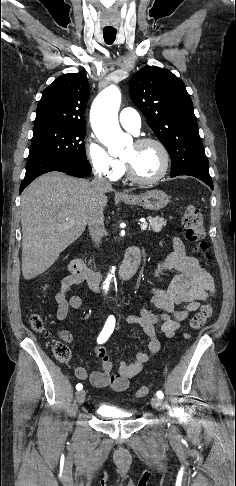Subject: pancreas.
<instances>
[{
    "instance_id": "pancreas-1",
    "label": "pancreas",
    "mask_w": 236,
    "mask_h": 486,
    "mask_svg": "<svg viewBox=\"0 0 236 486\" xmlns=\"http://www.w3.org/2000/svg\"><path fill=\"white\" fill-rule=\"evenodd\" d=\"M149 221V229L153 230L154 232H160L162 228L166 225V221L163 217H151L148 218Z\"/></svg>"
}]
</instances>
